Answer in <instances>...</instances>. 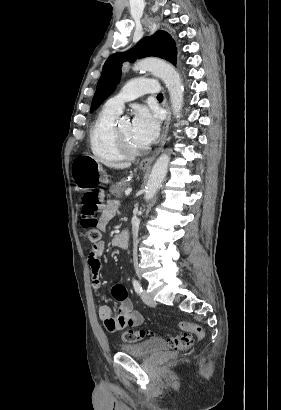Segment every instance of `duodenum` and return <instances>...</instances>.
<instances>
[{"mask_svg":"<svg viewBox=\"0 0 281 410\" xmlns=\"http://www.w3.org/2000/svg\"><path fill=\"white\" fill-rule=\"evenodd\" d=\"M129 243V232L127 229H123L120 234L115 238V246L119 248H125Z\"/></svg>","mask_w":281,"mask_h":410,"instance_id":"1","label":"duodenum"}]
</instances>
